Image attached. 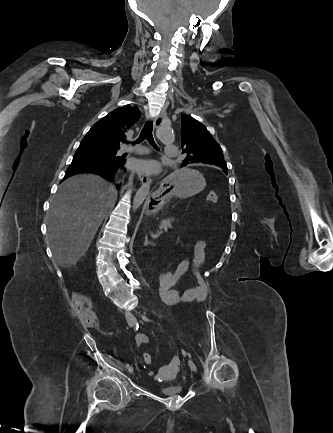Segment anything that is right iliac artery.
Wrapping results in <instances>:
<instances>
[{"instance_id": "obj_1", "label": "right iliac artery", "mask_w": 333, "mask_h": 433, "mask_svg": "<svg viewBox=\"0 0 333 433\" xmlns=\"http://www.w3.org/2000/svg\"><path fill=\"white\" fill-rule=\"evenodd\" d=\"M138 328H139V326H138V324H137L136 327L134 328L135 331L138 330ZM126 367L129 369V368H130V365H129V364H126Z\"/></svg>"}]
</instances>
